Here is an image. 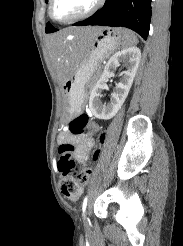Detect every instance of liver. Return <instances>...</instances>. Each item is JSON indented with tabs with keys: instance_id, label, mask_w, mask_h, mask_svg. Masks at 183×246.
I'll list each match as a JSON object with an SVG mask.
<instances>
[{
	"instance_id": "6515ba94",
	"label": "liver",
	"mask_w": 183,
	"mask_h": 246,
	"mask_svg": "<svg viewBox=\"0 0 183 246\" xmlns=\"http://www.w3.org/2000/svg\"><path fill=\"white\" fill-rule=\"evenodd\" d=\"M101 29V27L68 28L48 38L49 54L61 84L72 76L82 44L91 41ZM69 34L74 35L77 45L70 46L64 42Z\"/></svg>"
}]
</instances>
